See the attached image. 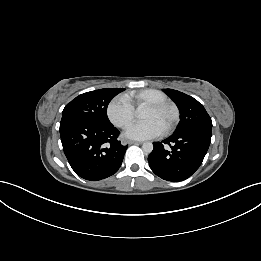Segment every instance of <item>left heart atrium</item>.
<instances>
[{
    "mask_svg": "<svg viewBox=\"0 0 261 261\" xmlns=\"http://www.w3.org/2000/svg\"><path fill=\"white\" fill-rule=\"evenodd\" d=\"M164 133V128L154 120L132 124L126 131L125 136L130 139L146 140L158 137Z\"/></svg>",
    "mask_w": 261,
    "mask_h": 261,
    "instance_id": "obj_1",
    "label": "left heart atrium"
}]
</instances>
